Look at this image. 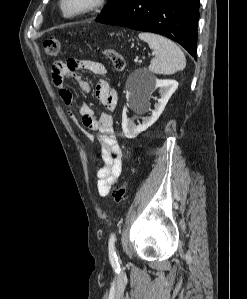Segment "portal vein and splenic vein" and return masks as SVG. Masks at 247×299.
<instances>
[{"label":"portal vein and splenic vein","instance_id":"obj_1","mask_svg":"<svg viewBox=\"0 0 247 299\" xmlns=\"http://www.w3.org/2000/svg\"><path fill=\"white\" fill-rule=\"evenodd\" d=\"M135 62H138V58L135 59Z\"/></svg>","mask_w":247,"mask_h":299}]
</instances>
